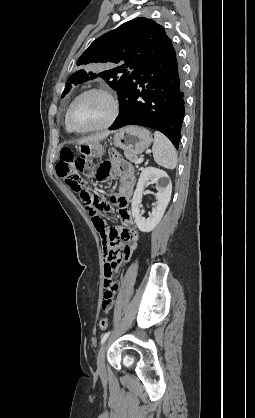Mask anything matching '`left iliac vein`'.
Masks as SVG:
<instances>
[{"label":"left iliac vein","mask_w":255,"mask_h":418,"mask_svg":"<svg viewBox=\"0 0 255 418\" xmlns=\"http://www.w3.org/2000/svg\"><path fill=\"white\" fill-rule=\"evenodd\" d=\"M107 348V343H104L103 346L100 348L98 356H97V369L100 375H105V352Z\"/></svg>","instance_id":"4c4485c4"}]
</instances>
